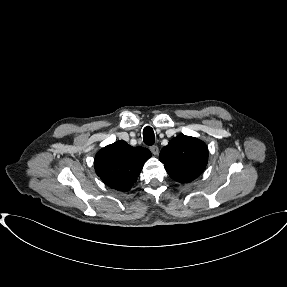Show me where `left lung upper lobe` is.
<instances>
[{
    "instance_id": "5c2ea615",
    "label": "left lung upper lobe",
    "mask_w": 287,
    "mask_h": 287,
    "mask_svg": "<svg viewBox=\"0 0 287 287\" xmlns=\"http://www.w3.org/2000/svg\"><path fill=\"white\" fill-rule=\"evenodd\" d=\"M159 160L172 179L188 183L204 171L208 161V149L201 140L180 135L162 148Z\"/></svg>"
}]
</instances>
